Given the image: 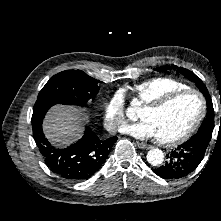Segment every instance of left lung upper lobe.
<instances>
[{
    "instance_id": "left-lung-upper-lobe-1",
    "label": "left lung upper lobe",
    "mask_w": 221,
    "mask_h": 221,
    "mask_svg": "<svg viewBox=\"0 0 221 221\" xmlns=\"http://www.w3.org/2000/svg\"><path fill=\"white\" fill-rule=\"evenodd\" d=\"M177 66L172 65V66H163V67H159L156 68V70L158 71H166L169 69H176ZM178 71L180 73H182L185 77H187L190 81H193L196 83L197 87L199 88V90L202 92V94L205 96L206 98V102H207V114H206V118L204 119L202 125L200 126L197 134H203L205 136H209V140H211V135H212V131L214 128V110H213V104H212V100L211 97L207 91V88L205 86V84L202 82V80L197 77L193 72L185 69V68H178Z\"/></svg>"
}]
</instances>
